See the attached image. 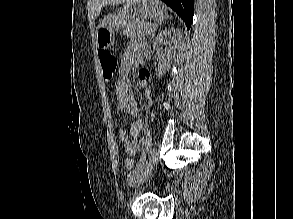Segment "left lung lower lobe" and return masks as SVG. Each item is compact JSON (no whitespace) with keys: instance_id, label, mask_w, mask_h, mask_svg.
<instances>
[{"instance_id":"left-lung-lower-lobe-1","label":"left lung lower lobe","mask_w":293,"mask_h":219,"mask_svg":"<svg viewBox=\"0 0 293 219\" xmlns=\"http://www.w3.org/2000/svg\"><path fill=\"white\" fill-rule=\"evenodd\" d=\"M171 7L190 28L194 15V0H162Z\"/></svg>"}]
</instances>
